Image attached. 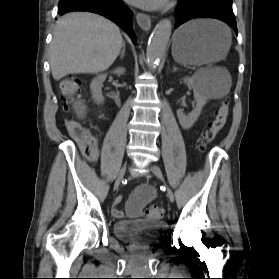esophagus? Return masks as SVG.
I'll return each mask as SVG.
<instances>
[{"instance_id":"1","label":"esophagus","mask_w":279,"mask_h":279,"mask_svg":"<svg viewBox=\"0 0 279 279\" xmlns=\"http://www.w3.org/2000/svg\"><path fill=\"white\" fill-rule=\"evenodd\" d=\"M136 21L138 25L145 31L150 30L151 28V19L150 16L144 13L136 14Z\"/></svg>"}]
</instances>
